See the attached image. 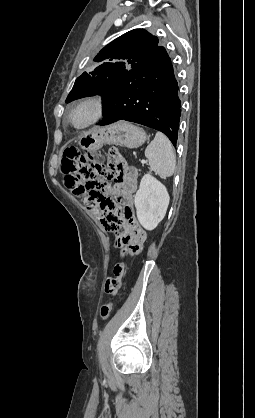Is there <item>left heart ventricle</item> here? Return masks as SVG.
Instances as JSON below:
<instances>
[{"label":"left heart ventricle","mask_w":255,"mask_h":418,"mask_svg":"<svg viewBox=\"0 0 255 418\" xmlns=\"http://www.w3.org/2000/svg\"><path fill=\"white\" fill-rule=\"evenodd\" d=\"M90 115H91L90 107L84 106V107L78 108L73 113L72 121L74 124L79 125V124L84 123L89 118Z\"/></svg>","instance_id":"left-heart-ventricle-1"}]
</instances>
